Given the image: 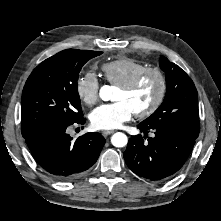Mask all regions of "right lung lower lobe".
I'll return each instance as SVG.
<instances>
[{"instance_id": "98d812e1", "label": "right lung lower lobe", "mask_w": 221, "mask_h": 221, "mask_svg": "<svg viewBox=\"0 0 221 221\" xmlns=\"http://www.w3.org/2000/svg\"><path fill=\"white\" fill-rule=\"evenodd\" d=\"M85 118L74 123L49 126L25 138L39 167L52 178L70 181L84 175L97 161L106 142L96 132L86 133L76 140L67 133L71 125H83Z\"/></svg>"}]
</instances>
